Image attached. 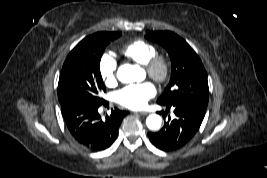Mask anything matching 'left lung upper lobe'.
<instances>
[{
	"label": "left lung upper lobe",
	"mask_w": 267,
	"mask_h": 178,
	"mask_svg": "<svg viewBox=\"0 0 267 178\" xmlns=\"http://www.w3.org/2000/svg\"><path fill=\"white\" fill-rule=\"evenodd\" d=\"M145 37L163 46L171 59V79L157 103L182 104L205 112L209 98L207 74L195 51L170 31L147 32Z\"/></svg>",
	"instance_id": "1"
}]
</instances>
